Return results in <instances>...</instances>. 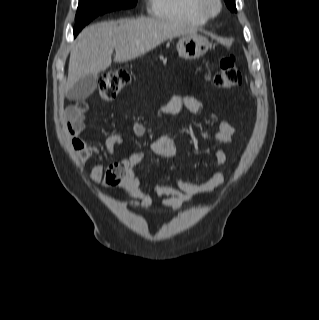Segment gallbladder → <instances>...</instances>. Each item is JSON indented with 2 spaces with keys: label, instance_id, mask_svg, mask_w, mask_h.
<instances>
[{
  "label": "gallbladder",
  "instance_id": "1",
  "mask_svg": "<svg viewBox=\"0 0 319 320\" xmlns=\"http://www.w3.org/2000/svg\"><path fill=\"white\" fill-rule=\"evenodd\" d=\"M97 75L82 77L72 88L68 90L66 96L70 100H84L89 97L97 88Z\"/></svg>",
  "mask_w": 319,
  "mask_h": 320
}]
</instances>
